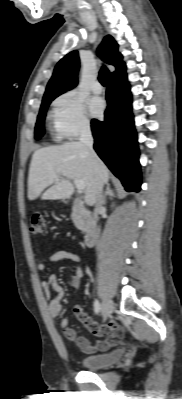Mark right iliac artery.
<instances>
[{
	"label": "right iliac artery",
	"mask_w": 182,
	"mask_h": 399,
	"mask_svg": "<svg viewBox=\"0 0 182 399\" xmlns=\"http://www.w3.org/2000/svg\"><path fill=\"white\" fill-rule=\"evenodd\" d=\"M100 311H101V305H100V303H99L98 300H95V301H94V312H95L96 314H99Z\"/></svg>",
	"instance_id": "82829eb1"
}]
</instances>
